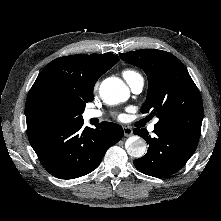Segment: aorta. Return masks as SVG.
Listing matches in <instances>:
<instances>
[{
  "label": "aorta",
  "mask_w": 221,
  "mask_h": 221,
  "mask_svg": "<svg viewBox=\"0 0 221 221\" xmlns=\"http://www.w3.org/2000/svg\"><path fill=\"white\" fill-rule=\"evenodd\" d=\"M100 97L109 104L114 105L127 100L129 90L127 86L118 78L105 79L99 88ZM127 153L134 158H141L145 155L146 142L140 137H130L126 143Z\"/></svg>",
  "instance_id": "762f6f07"
}]
</instances>
